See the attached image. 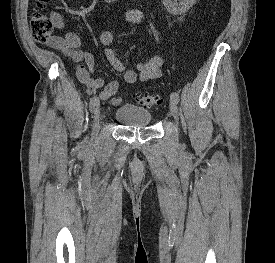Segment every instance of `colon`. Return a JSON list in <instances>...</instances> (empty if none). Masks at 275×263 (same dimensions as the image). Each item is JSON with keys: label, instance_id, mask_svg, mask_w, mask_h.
<instances>
[{"label": "colon", "instance_id": "1", "mask_svg": "<svg viewBox=\"0 0 275 263\" xmlns=\"http://www.w3.org/2000/svg\"><path fill=\"white\" fill-rule=\"evenodd\" d=\"M49 0H35V10L31 15V29L34 39L38 42H48L53 37L54 25L42 11L46 8ZM135 100L144 107H157L162 100L159 95L152 93H137Z\"/></svg>", "mask_w": 275, "mask_h": 263}]
</instances>
